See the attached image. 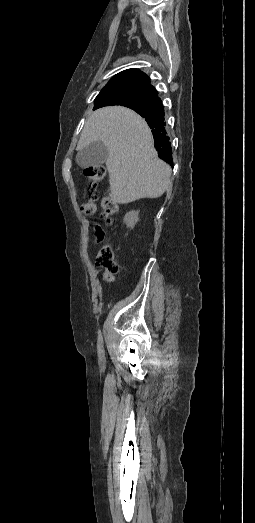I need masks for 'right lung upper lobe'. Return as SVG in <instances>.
Masks as SVG:
<instances>
[{"instance_id":"1","label":"right lung upper lobe","mask_w":255,"mask_h":523,"mask_svg":"<svg viewBox=\"0 0 255 523\" xmlns=\"http://www.w3.org/2000/svg\"><path fill=\"white\" fill-rule=\"evenodd\" d=\"M142 90L147 94V100L143 102H117L105 98L109 92L125 90ZM109 105H122L133 109L145 118L154 137L155 148L159 157L173 165L172 148L169 137L166 135L164 109L156 89L150 85V78L138 69H128L115 75L101 90L95 99L97 109Z\"/></svg>"}]
</instances>
